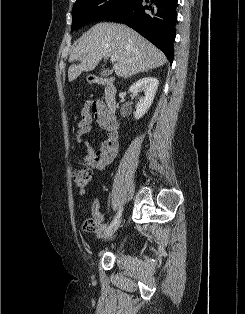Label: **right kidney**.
I'll use <instances>...</instances> for the list:
<instances>
[{
    "label": "right kidney",
    "mask_w": 245,
    "mask_h": 314,
    "mask_svg": "<svg viewBox=\"0 0 245 314\" xmlns=\"http://www.w3.org/2000/svg\"><path fill=\"white\" fill-rule=\"evenodd\" d=\"M158 85L159 82L156 78L144 77L130 86L129 91L134 95L142 91L144 92V97H141L137 103L134 114L135 119L139 120L147 113L153 103Z\"/></svg>",
    "instance_id": "right-kidney-1"
}]
</instances>
